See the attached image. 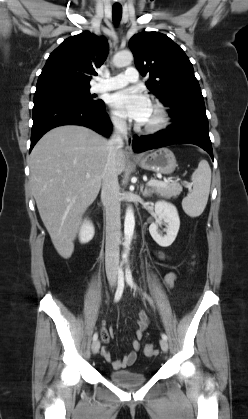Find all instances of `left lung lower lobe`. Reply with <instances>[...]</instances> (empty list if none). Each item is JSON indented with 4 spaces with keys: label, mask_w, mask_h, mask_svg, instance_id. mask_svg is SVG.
<instances>
[{
    "label": "left lung lower lobe",
    "mask_w": 248,
    "mask_h": 419,
    "mask_svg": "<svg viewBox=\"0 0 248 419\" xmlns=\"http://www.w3.org/2000/svg\"><path fill=\"white\" fill-rule=\"evenodd\" d=\"M170 117L173 119V124L167 129L154 135L135 137L132 144L134 151L141 152L171 144L190 143L203 148L213 159L205 108L192 107Z\"/></svg>",
    "instance_id": "0a47b994"
}]
</instances>
